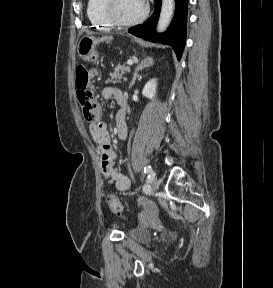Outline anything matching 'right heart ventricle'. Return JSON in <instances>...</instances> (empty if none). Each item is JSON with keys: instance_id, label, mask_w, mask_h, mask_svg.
<instances>
[{"instance_id": "e07e8e85", "label": "right heart ventricle", "mask_w": 273, "mask_h": 288, "mask_svg": "<svg viewBox=\"0 0 273 288\" xmlns=\"http://www.w3.org/2000/svg\"><path fill=\"white\" fill-rule=\"evenodd\" d=\"M103 0H88L87 2V16L91 24L97 29L109 30L112 27L103 16L102 13Z\"/></svg>"}]
</instances>
